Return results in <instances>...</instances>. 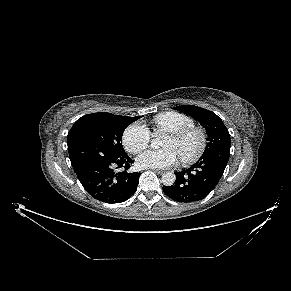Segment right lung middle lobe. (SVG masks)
<instances>
[{"instance_id":"obj_1","label":"right lung middle lobe","mask_w":291,"mask_h":291,"mask_svg":"<svg viewBox=\"0 0 291 291\" xmlns=\"http://www.w3.org/2000/svg\"><path fill=\"white\" fill-rule=\"evenodd\" d=\"M141 116L127 117L111 113H93L79 118L68 133V142L88 138L118 153H126L122 147V134L126 127Z\"/></svg>"}]
</instances>
